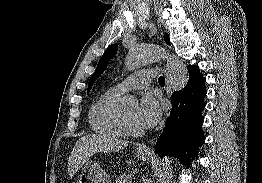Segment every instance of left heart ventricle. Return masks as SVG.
Segmentation results:
<instances>
[{"label": "left heart ventricle", "mask_w": 262, "mask_h": 183, "mask_svg": "<svg viewBox=\"0 0 262 183\" xmlns=\"http://www.w3.org/2000/svg\"><path fill=\"white\" fill-rule=\"evenodd\" d=\"M127 118L129 119L130 123L139 129H142L137 122V114H138V107H133L125 111Z\"/></svg>", "instance_id": "b2bd125f"}]
</instances>
